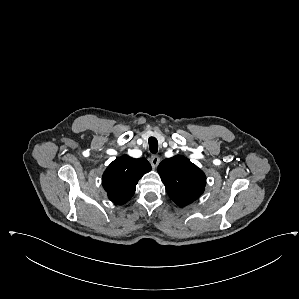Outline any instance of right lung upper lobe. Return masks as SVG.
Listing matches in <instances>:
<instances>
[{"instance_id":"1","label":"right lung upper lobe","mask_w":299,"mask_h":299,"mask_svg":"<svg viewBox=\"0 0 299 299\" xmlns=\"http://www.w3.org/2000/svg\"><path fill=\"white\" fill-rule=\"evenodd\" d=\"M150 170L151 165L146 159L123 155L105 170L103 188L113 203L123 205L134 195L138 180Z\"/></svg>"}]
</instances>
